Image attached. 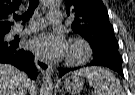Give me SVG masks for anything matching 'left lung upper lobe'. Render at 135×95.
<instances>
[{
    "mask_svg": "<svg viewBox=\"0 0 135 95\" xmlns=\"http://www.w3.org/2000/svg\"><path fill=\"white\" fill-rule=\"evenodd\" d=\"M67 15L75 16L72 30L90 43L93 54L118 53V43L102 0H65Z\"/></svg>",
    "mask_w": 135,
    "mask_h": 95,
    "instance_id": "left-lung-upper-lobe-1",
    "label": "left lung upper lobe"
}]
</instances>
